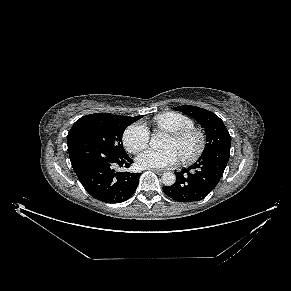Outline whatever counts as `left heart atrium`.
<instances>
[{"instance_id": "39dd6f15", "label": "left heart atrium", "mask_w": 291, "mask_h": 291, "mask_svg": "<svg viewBox=\"0 0 291 291\" xmlns=\"http://www.w3.org/2000/svg\"><path fill=\"white\" fill-rule=\"evenodd\" d=\"M179 157L173 147L162 150L148 149L137 157V163L142 168H167L175 164Z\"/></svg>"}]
</instances>
